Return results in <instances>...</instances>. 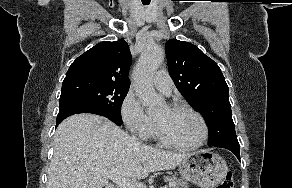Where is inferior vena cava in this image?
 <instances>
[{
    "label": "inferior vena cava",
    "mask_w": 292,
    "mask_h": 188,
    "mask_svg": "<svg viewBox=\"0 0 292 188\" xmlns=\"http://www.w3.org/2000/svg\"><path fill=\"white\" fill-rule=\"evenodd\" d=\"M133 139H134L135 141H137V143H139L135 136H133Z\"/></svg>",
    "instance_id": "602c4592"
}]
</instances>
